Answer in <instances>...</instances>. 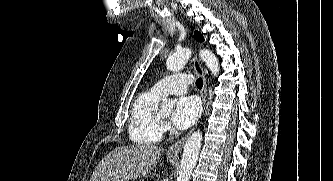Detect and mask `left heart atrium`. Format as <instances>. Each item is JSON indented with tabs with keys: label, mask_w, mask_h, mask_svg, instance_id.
Segmentation results:
<instances>
[{
	"label": "left heart atrium",
	"mask_w": 333,
	"mask_h": 181,
	"mask_svg": "<svg viewBox=\"0 0 333 181\" xmlns=\"http://www.w3.org/2000/svg\"><path fill=\"white\" fill-rule=\"evenodd\" d=\"M200 112L201 106L197 98L183 96L176 102L171 121L176 128L184 130L196 122Z\"/></svg>",
	"instance_id": "39dd6f15"
}]
</instances>
